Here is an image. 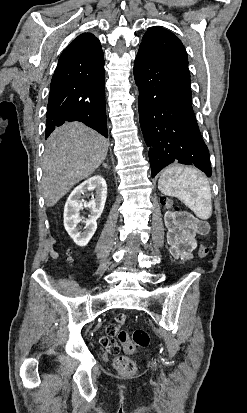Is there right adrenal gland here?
Returning a JSON list of instances; mask_svg holds the SVG:
<instances>
[{
	"label": "right adrenal gland",
	"instance_id": "obj_1",
	"mask_svg": "<svg viewBox=\"0 0 247 413\" xmlns=\"http://www.w3.org/2000/svg\"><path fill=\"white\" fill-rule=\"evenodd\" d=\"M103 166L104 168H109L108 164H106V162H103Z\"/></svg>",
	"mask_w": 247,
	"mask_h": 413
}]
</instances>
